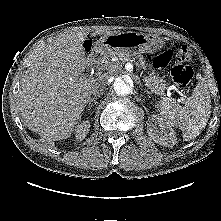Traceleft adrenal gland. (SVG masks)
<instances>
[{
    "label": "left adrenal gland",
    "mask_w": 221,
    "mask_h": 221,
    "mask_svg": "<svg viewBox=\"0 0 221 221\" xmlns=\"http://www.w3.org/2000/svg\"><path fill=\"white\" fill-rule=\"evenodd\" d=\"M144 92H146L147 94L151 95V92H150V91H148L147 89H145V91H144Z\"/></svg>",
    "instance_id": "1"
}]
</instances>
